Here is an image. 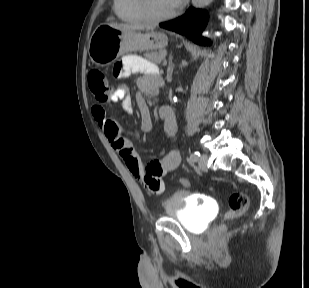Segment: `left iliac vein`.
Returning <instances> with one entry per match:
<instances>
[{"label":"left iliac vein","mask_w":309,"mask_h":288,"mask_svg":"<svg viewBox=\"0 0 309 288\" xmlns=\"http://www.w3.org/2000/svg\"><path fill=\"white\" fill-rule=\"evenodd\" d=\"M207 160H208V156L206 154H202L199 157L198 166H199L200 170H202V171L207 170Z\"/></svg>","instance_id":"obj_1"}]
</instances>
